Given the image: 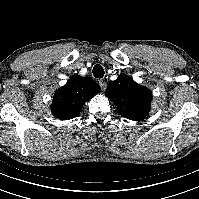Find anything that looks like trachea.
<instances>
[{"mask_svg": "<svg viewBox=\"0 0 199 199\" xmlns=\"http://www.w3.org/2000/svg\"><path fill=\"white\" fill-rule=\"evenodd\" d=\"M93 75L95 78H103L104 76V69L101 65L96 64L93 68Z\"/></svg>", "mask_w": 199, "mask_h": 199, "instance_id": "obj_1", "label": "trachea"}]
</instances>
